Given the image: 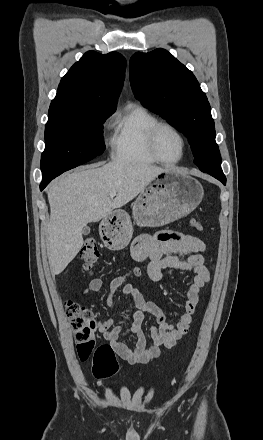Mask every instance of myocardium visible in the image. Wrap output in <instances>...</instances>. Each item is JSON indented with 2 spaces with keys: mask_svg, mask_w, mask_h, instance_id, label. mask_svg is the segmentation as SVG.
<instances>
[{
  "mask_svg": "<svg viewBox=\"0 0 263 440\" xmlns=\"http://www.w3.org/2000/svg\"><path fill=\"white\" fill-rule=\"evenodd\" d=\"M163 128H168V129L172 130L174 133H176L178 135V137L181 140L182 152H181V156L176 160H173V161L165 160L159 155V153L157 151V148H156L157 136H158L159 131ZM147 147H148L149 153L157 162L165 164V165H174V164L181 162L183 160V158L185 157L186 151H187V139L184 136V134L175 125H173L169 122L158 121L150 128V130L148 132Z\"/></svg>",
  "mask_w": 263,
  "mask_h": 440,
  "instance_id": "obj_1",
  "label": "myocardium"
}]
</instances>
